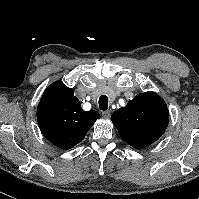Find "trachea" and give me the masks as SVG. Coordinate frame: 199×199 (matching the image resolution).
Returning a JSON list of instances; mask_svg holds the SVG:
<instances>
[{
    "label": "trachea",
    "instance_id": "3493384b",
    "mask_svg": "<svg viewBox=\"0 0 199 199\" xmlns=\"http://www.w3.org/2000/svg\"><path fill=\"white\" fill-rule=\"evenodd\" d=\"M99 108L101 110H107L108 108V97L106 95H101L99 98Z\"/></svg>",
    "mask_w": 199,
    "mask_h": 199
}]
</instances>
